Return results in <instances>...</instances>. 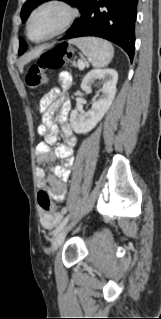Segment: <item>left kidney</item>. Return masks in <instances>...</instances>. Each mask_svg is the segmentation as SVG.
I'll list each match as a JSON object with an SVG mask.
<instances>
[{
    "instance_id": "left-kidney-1",
    "label": "left kidney",
    "mask_w": 161,
    "mask_h": 319,
    "mask_svg": "<svg viewBox=\"0 0 161 319\" xmlns=\"http://www.w3.org/2000/svg\"><path fill=\"white\" fill-rule=\"evenodd\" d=\"M97 80L100 84H103L101 97L93 99L92 107L89 111L84 112L76 109L70 114L71 126L78 134L90 132L107 113L115 98L118 73L114 69L91 70L81 83L82 91L89 94L92 91L91 85Z\"/></svg>"
}]
</instances>
